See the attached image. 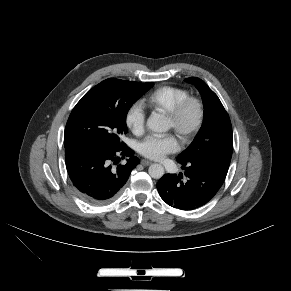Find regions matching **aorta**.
Segmentation results:
<instances>
[{
	"mask_svg": "<svg viewBox=\"0 0 291 291\" xmlns=\"http://www.w3.org/2000/svg\"><path fill=\"white\" fill-rule=\"evenodd\" d=\"M148 129L153 132H166L169 130V125L166 118L160 114H153L147 120ZM149 175L154 179H160L164 175V167L161 164H152L148 169Z\"/></svg>",
	"mask_w": 291,
	"mask_h": 291,
	"instance_id": "1",
	"label": "aorta"
}]
</instances>
